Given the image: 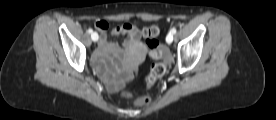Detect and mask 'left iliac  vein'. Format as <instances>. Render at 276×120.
<instances>
[{
	"mask_svg": "<svg viewBox=\"0 0 276 120\" xmlns=\"http://www.w3.org/2000/svg\"><path fill=\"white\" fill-rule=\"evenodd\" d=\"M166 41H167L168 44L172 43V41H173V34L172 33H169L166 36Z\"/></svg>",
	"mask_w": 276,
	"mask_h": 120,
	"instance_id": "1",
	"label": "left iliac vein"
}]
</instances>
